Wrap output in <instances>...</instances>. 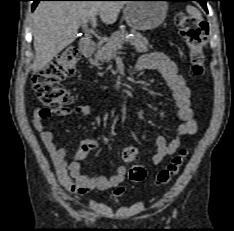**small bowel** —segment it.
<instances>
[{
    "instance_id": "c3829d8e",
    "label": "small bowel",
    "mask_w": 234,
    "mask_h": 231,
    "mask_svg": "<svg viewBox=\"0 0 234 231\" xmlns=\"http://www.w3.org/2000/svg\"><path fill=\"white\" fill-rule=\"evenodd\" d=\"M139 69L157 70L167 82L175 99V111L181 122L171 140L158 136L155 140L156 152L152 157L153 164H159L169 155L176 153L181 146V139L186 135H193L198 130V124L191 109L190 88L184 78L178 73L174 61L160 52L143 55L139 60ZM59 116L74 114L85 117L91 114V108L86 104H77L72 110L62 109L55 112ZM53 111L46 107H38L34 112L33 126L48 151L56 169L60 185L65 191L74 196H82L92 190H107L113 188L112 199H118L124 194L123 182L127 175L125 166H118L111 176L92 177L83 173L80 162L99 147V140L89 138L83 140L75 151L71 161L67 158L66 149L56 144L52 131L45 127V122Z\"/></svg>"
}]
</instances>
